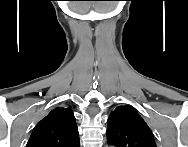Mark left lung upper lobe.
<instances>
[{"label":"left lung upper lobe","mask_w":188,"mask_h":147,"mask_svg":"<svg viewBox=\"0 0 188 147\" xmlns=\"http://www.w3.org/2000/svg\"><path fill=\"white\" fill-rule=\"evenodd\" d=\"M107 141L117 147H157L153 133L129 106H118L108 118Z\"/></svg>","instance_id":"1"}]
</instances>
